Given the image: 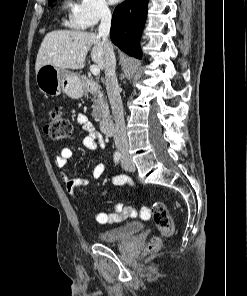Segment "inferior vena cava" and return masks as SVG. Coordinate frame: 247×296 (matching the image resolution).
Masks as SVG:
<instances>
[{
	"label": "inferior vena cava",
	"mask_w": 247,
	"mask_h": 296,
	"mask_svg": "<svg viewBox=\"0 0 247 296\" xmlns=\"http://www.w3.org/2000/svg\"><path fill=\"white\" fill-rule=\"evenodd\" d=\"M111 26V12L108 7L101 9V23L99 25V36L102 37L105 47V85L110 105L115 117V146L121 152L128 150V141L124 120V109L118 90V82L115 74L116 58L113 46L109 41V31Z\"/></svg>",
	"instance_id": "602c4592"
}]
</instances>
